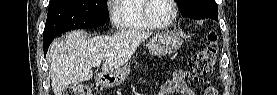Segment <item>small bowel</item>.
<instances>
[{"label":"small bowel","instance_id":"c3829d8e","mask_svg":"<svg viewBox=\"0 0 277 95\" xmlns=\"http://www.w3.org/2000/svg\"><path fill=\"white\" fill-rule=\"evenodd\" d=\"M186 79H191L196 84L202 86L201 95H216L217 90L213 87L205 85L206 79L193 76L185 70H175L172 74V78L163 84L159 91V95L168 94H183V95H195L196 93L187 85Z\"/></svg>","mask_w":277,"mask_h":95}]
</instances>
